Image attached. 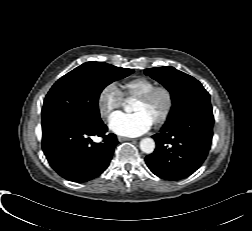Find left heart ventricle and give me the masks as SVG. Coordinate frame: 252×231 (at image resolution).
<instances>
[{"instance_id":"left-heart-ventricle-1","label":"left heart ventricle","mask_w":252,"mask_h":231,"mask_svg":"<svg viewBox=\"0 0 252 231\" xmlns=\"http://www.w3.org/2000/svg\"><path fill=\"white\" fill-rule=\"evenodd\" d=\"M166 104V99L163 94L156 95L149 103H143L137 100L134 104V112H143L154 122L163 112Z\"/></svg>"}]
</instances>
